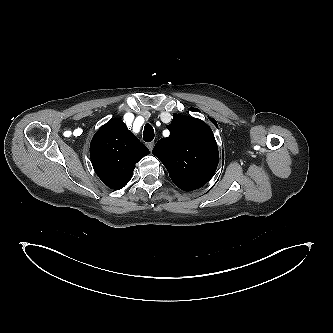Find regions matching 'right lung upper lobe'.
Segmentation results:
<instances>
[{"instance_id": "cb5924a9", "label": "right lung upper lobe", "mask_w": 333, "mask_h": 333, "mask_svg": "<svg viewBox=\"0 0 333 333\" xmlns=\"http://www.w3.org/2000/svg\"><path fill=\"white\" fill-rule=\"evenodd\" d=\"M148 154L147 147L117 118L103 125L90 144L91 163L96 174L115 190L129 182L135 164Z\"/></svg>"}]
</instances>
